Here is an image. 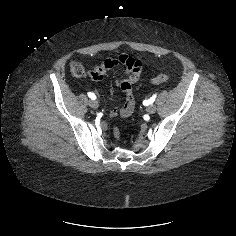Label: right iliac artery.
<instances>
[{"label": "right iliac artery", "mask_w": 236, "mask_h": 236, "mask_svg": "<svg viewBox=\"0 0 236 236\" xmlns=\"http://www.w3.org/2000/svg\"><path fill=\"white\" fill-rule=\"evenodd\" d=\"M88 96H89V98H91L92 100H95V99H96L95 94H93V93H91V92H88Z\"/></svg>", "instance_id": "82829eb1"}]
</instances>
